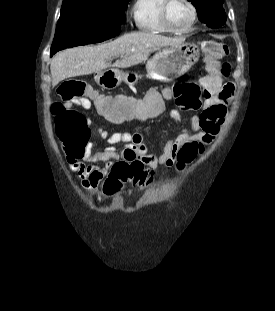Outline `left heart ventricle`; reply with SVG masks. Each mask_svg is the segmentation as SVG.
<instances>
[{"mask_svg":"<svg viewBox=\"0 0 275 311\" xmlns=\"http://www.w3.org/2000/svg\"><path fill=\"white\" fill-rule=\"evenodd\" d=\"M168 14L172 25L179 29L186 27L192 18L191 9L184 0H173Z\"/></svg>","mask_w":275,"mask_h":311,"instance_id":"b2bd125f","label":"left heart ventricle"}]
</instances>
